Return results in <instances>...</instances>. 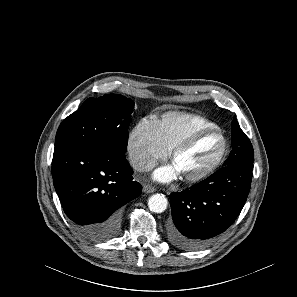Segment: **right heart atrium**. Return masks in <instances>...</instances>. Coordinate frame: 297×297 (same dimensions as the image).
Listing matches in <instances>:
<instances>
[{
    "instance_id": "1",
    "label": "right heart atrium",
    "mask_w": 297,
    "mask_h": 297,
    "mask_svg": "<svg viewBox=\"0 0 297 297\" xmlns=\"http://www.w3.org/2000/svg\"><path fill=\"white\" fill-rule=\"evenodd\" d=\"M127 153L132 167L140 172L151 169L167 155V149L156 136L153 121L142 119L132 128Z\"/></svg>"
}]
</instances>
